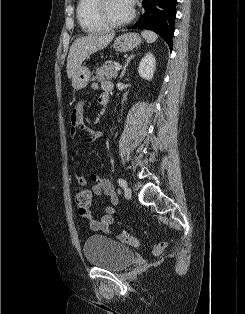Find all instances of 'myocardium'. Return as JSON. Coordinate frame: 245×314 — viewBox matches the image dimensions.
<instances>
[{
	"instance_id": "1",
	"label": "myocardium",
	"mask_w": 245,
	"mask_h": 314,
	"mask_svg": "<svg viewBox=\"0 0 245 314\" xmlns=\"http://www.w3.org/2000/svg\"><path fill=\"white\" fill-rule=\"evenodd\" d=\"M105 2L106 0H96L95 15L98 21L101 22L108 29L124 27L135 18L136 11L135 8H132L131 14L125 20L119 22L111 21L105 14Z\"/></svg>"
}]
</instances>
